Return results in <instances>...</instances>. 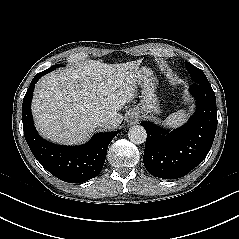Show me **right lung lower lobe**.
I'll use <instances>...</instances> for the list:
<instances>
[{"instance_id": "right-lung-lower-lobe-1", "label": "right lung lower lobe", "mask_w": 239, "mask_h": 239, "mask_svg": "<svg viewBox=\"0 0 239 239\" xmlns=\"http://www.w3.org/2000/svg\"><path fill=\"white\" fill-rule=\"evenodd\" d=\"M49 70L35 75L23 99V130L28 146L40 164L58 179L80 183L96 177L102 170L108 145L119 131L95 134L82 146H62L42 139L35 130L31 100L37 81Z\"/></svg>"}]
</instances>
